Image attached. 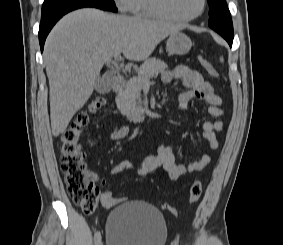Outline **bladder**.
<instances>
[{
  "label": "bladder",
  "mask_w": 283,
  "mask_h": 245,
  "mask_svg": "<svg viewBox=\"0 0 283 245\" xmlns=\"http://www.w3.org/2000/svg\"><path fill=\"white\" fill-rule=\"evenodd\" d=\"M167 226L155 206L130 200L114 207L106 221V245H165Z\"/></svg>",
  "instance_id": "bladder-1"
}]
</instances>
